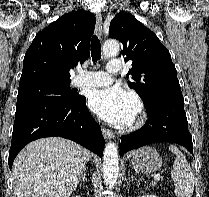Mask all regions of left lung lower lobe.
Instances as JSON below:
<instances>
[{"mask_svg":"<svg viewBox=\"0 0 209 197\" xmlns=\"http://www.w3.org/2000/svg\"><path fill=\"white\" fill-rule=\"evenodd\" d=\"M145 108L149 116L146 124L136 132L121 137L120 155L156 142L176 143L193 154L183 98H159Z\"/></svg>","mask_w":209,"mask_h":197,"instance_id":"left-lung-lower-lobe-1","label":"left lung lower lobe"}]
</instances>
